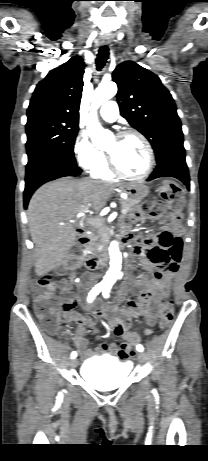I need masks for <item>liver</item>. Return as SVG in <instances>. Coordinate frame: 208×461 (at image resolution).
<instances>
[{"label":"liver","mask_w":208,"mask_h":461,"mask_svg":"<svg viewBox=\"0 0 208 461\" xmlns=\"http://www.w3.org/2000/svg\"><path fill=\"white\" fill-rule=\"evenodd\" d=\"M118 187L122 188L110 182L65 177L44 184L33 194L27 218L38 276L59 267L74 245L77 232L70 222L79 213H99Z\"/></svg>","instance_id":"obj_1"}]
</instances>
